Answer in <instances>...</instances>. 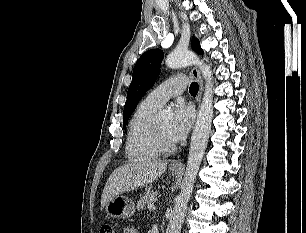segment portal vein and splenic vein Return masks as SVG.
<instances>
[{
	"mask_svg": "<svg viewBox=\"0 0 306 233\" xmlns=\"http://www.w3.org/2000/svg\"><path fill=\"white\" fill-rule=\"evenodd\" d=\"M148 209L149 210H154L155 209V205L154 204H149L148 205Z\"/></svg>",
	"mask_w": 306,
	"mask_h": 233,
	"instance_id": "18ae733b",
	"label": "portal vein and splenic vein"
}]
</instances>
